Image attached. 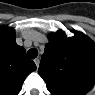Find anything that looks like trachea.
Masks as SVG:
<instances>
[{"mask_svg": "<svg viewBox=\"0 0 95 95\" xmlns=\"http://www.w3.org/2000/svg\"><path fill=\"white\" fill-rule=\"evenodd\" d=\"M28 56L32 59L36 58L37 55H38V51L36 49H30L28 52H27Z\"/></svg>", "mask_w": 95, "mask_h": 95, "instance_id": "3493384b", "label": "trachea"}]
</instances>
